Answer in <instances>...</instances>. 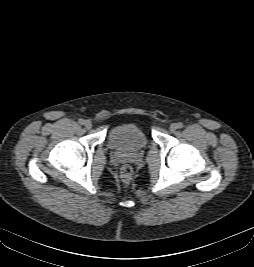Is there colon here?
Returning <instances> with one entry per match:
<instances>
[{"instance_id": "colon-1", "label": "colon", "mask_w": 254, "mask_h": 267, "mask_svg": "<svg viewBox=\"0 0 254 267\" xmlns=\"http://www.w3.org/2000/svg\"><path fill=\"white\" fill-rule=\"evenodd\" d=\"M132 176V168L128 165H125L121 169V177L123 180H129Z\"/></svg>"}]
</instances>
